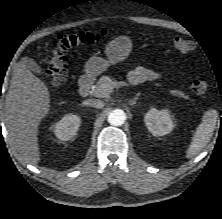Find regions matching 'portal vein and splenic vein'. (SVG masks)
I'll return each mask as SVG.
<instances>
[{"label":"portal vein and splenic vein","instance_id":"1","mask_svg":"<svg viewBox=\"0 0 222 219\" xmlns=\"http://www.w3.org/2000/svg\"><path fill=\"white\" fill-rule=\"evenodd\" d=\"M113 85L114 86L112 88H115L116 86L121 85V83L114 82Z\"/></svg>","mask_w":222,"mask_h":219}]
</instances>
